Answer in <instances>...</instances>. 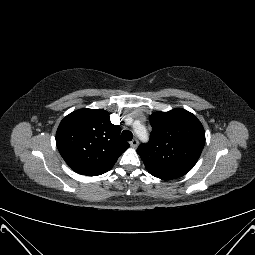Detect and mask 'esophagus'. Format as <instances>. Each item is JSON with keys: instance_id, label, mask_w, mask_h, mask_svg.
Instances as JSON below:
<instances>
[{"instance_id": "esophagus-1", "label": "esophagus", "mask_w": 255, "mask_h": 255, "mask_svg": "<svg viewBox=\"0 0 255 255\" xmlns=\"http://www.w3.org/2000/svg\"><path fill=\"white\" fill-rule=\"evenodd\" d=\"M138 144H139V142H138V140H137L136 138L133 139V140L130 142V146H131L132 148H137Z\"/></svg>"}]
</instances>
